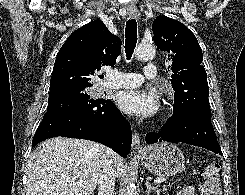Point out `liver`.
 Returning <instances> with one entry per match:
<instances>
[{
    "label": "liver",
    "mask_w": 245,
    "mask_h": 195,
    "mask_svg": "<svg viewBox=\"0 0 245 195\" xmlns=\"http://www.w3.org/2000/svg\"><path fill=\"white\" fill-rule=\"evenodd\" d=\"M105 149L84 139L56 137L42 142L28 160L26 195H91ZM112 160L120 178L123 159L115 154Z\"/></svg>",
    "instance_id": "6515ba94"
}]
</instances>
